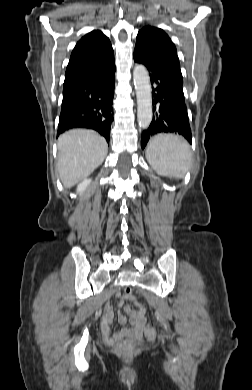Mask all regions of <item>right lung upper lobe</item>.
I'll use <instances>...</instances> for the list:
<instances>
[{"label":"right lung upper lobe","instance_id":"1","mask_svg":"<svg viewBox=\"0 0 252 390\" xmlns=\"http://www.w3.org/2000/svg\"><path fill=\"white\" fill-rule=\"evenodd\" d=\"M114 65V52L108 37L99 30H93L77 42L71 53L63 91L106 75Z\"/></svg>","mask_w":252,"mask_h":390}]
</instances>
